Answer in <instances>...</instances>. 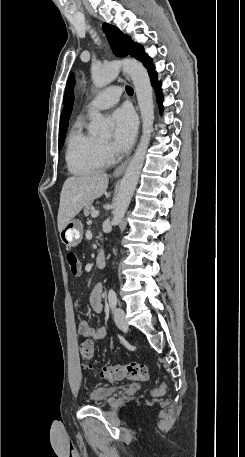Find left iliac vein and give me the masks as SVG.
Masks as SVG:
<instances>
[{
  "mask_svg": "<svg viewBox=\"0 0 245 457\" xmlns=\"http://www.w3.org/2000/svg\"><path fill=\"white\" fill-rule=\"evenodd\" d=\"M114 321L120 329L124 331L128 329L127 319L125 317V312L122 308L117 307L114 310Z\"/></svg>",
  "mask_w": 245,
  "mask_h": 457,
  "instance_id": "left-iliac-vein-1",
  "label": "left iliac vein"
}]
</instances>
